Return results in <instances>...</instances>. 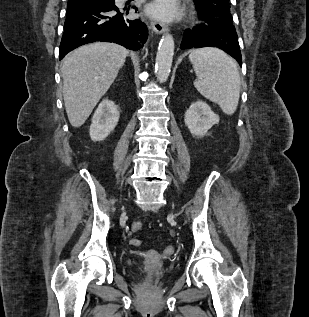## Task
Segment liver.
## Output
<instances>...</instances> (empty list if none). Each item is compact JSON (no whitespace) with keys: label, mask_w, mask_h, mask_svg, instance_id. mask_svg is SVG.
I'll return each mask as SVG.
<instances>
[{"label":"liver","mask_w":309,"mask_h":317,"mask_svg":"<svg viewBox=\"0 0 309 317\" xmlns=\"http://www.w3.org/2000/svg\"><path fill=\"white\" fill-rule=\"evenodd\" d=\"M129 51L117 44L84 45L62 61L63 97L73 127L82 126L108 91Z\"/></svg>","instance_id":"6515ba94"}]
</instances>
